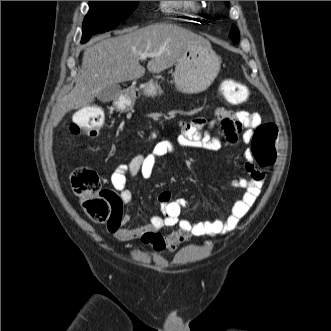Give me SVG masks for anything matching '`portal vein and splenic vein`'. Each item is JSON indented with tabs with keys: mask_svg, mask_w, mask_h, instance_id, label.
<instances>
[{
	"mask_svg": "<svg viewBox=\"0 0 331 331\" xmlns=\"http://www.w3.org/2000/svg\"><path fill=\"white\" fill-rule=\"evenodd\" d=\"M158 56V54H154V53H143L140 56V59L145 60L148 57H155Z\"/></svg>",
	"mask_w": 331,
	"mask_h": 331,
	"instance_id": "portal-vein-and-splenic-vein-1",
	"label": "portal vein and splenic vein"
}]
</instances>
